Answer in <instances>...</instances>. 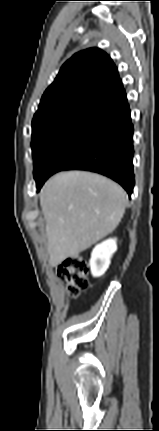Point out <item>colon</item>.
Masks as SVG:
<instances>
[{
  "label": "colon",
  "instance_id": "5ec220e1",
  "mask_svg": "<svg viewBox=\"0 0 159 431\" xmlns=\"http://www.w3.org/2000/svg\"><path fill=\"white\" fill-rule=\"evenodd\" d=\"M57 274L73 298H77L89 287V264L81 255H73L62 261Z\"/></svg>",
  "mask_w": 159,
  "mask_h": 431
}]
</instances>
